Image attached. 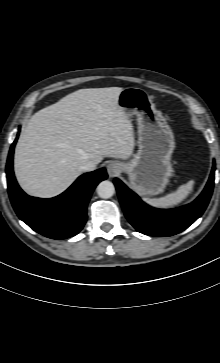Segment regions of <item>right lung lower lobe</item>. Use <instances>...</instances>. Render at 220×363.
<instances>
[{
    "label": "right lung lower lobe",
    "mask_w": 220,
    "mask_h": 363,
    "mask_svg": "<svg viewBox=\"0 0 220 363\" xmlns=\"http://www.w3.org/2000/svg\"><path fill=\"white\" fill-rule=\"evenodd\" d=\"M11 145L7 165V183L11 203L18 217L34 231L52 239H66L79 233L87 220V204L96 185L107 178L104 168L81 175L65 192L50 199L25 194L13 173Z\"/></svg>",
    "instance_id": "obj_1"
}]
</instances>
